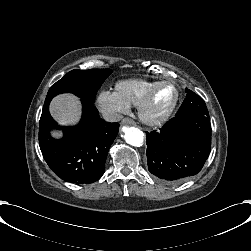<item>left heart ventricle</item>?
<instances>
[{"label": "left heart ventricle", "instance_id": "left-heart-ventricle-1", "mask_svg": "<svg viewBox=\"0 0 251 251\" xmlns=\"http://www.w3.org/2000/svg\"><path fill=\"white\" fill-rule=\"evenodd\" d=\"M178 89L172 82H166L159 86L156 90L150 105L148 114L151 117L157 118L169 111L177 102Z\"/></svg>", "mask_w": 251, "mask_h": 251}]
</instances>
